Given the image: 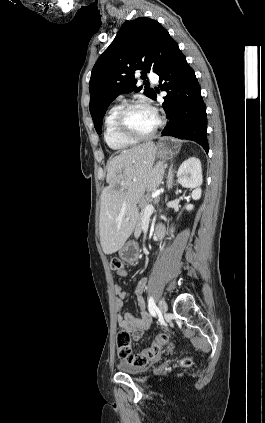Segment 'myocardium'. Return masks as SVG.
Here are the masks:
<instances>
[{"instance_id":"f54148a6","label":"myocardium","mask_w":265,"mask_h":423,"mask_svg":"<svg viewBox=\"0 0 265 423\" xmlns=\"http://www.w3.org/2000/svg\"><path fill=\"white\" fill-rule=\"evenodd\" d=\"M139 107L149 108L152 111H154L152 109V107L146 102L132 101V102L125 104L122 107V109L120 110V112L118 113L117 118H116V129L119 132V134L122 137H124L125 139L131 140V141H134V142L145 141V140H149V139L153 138L156 135V133L158 132V130L160 129V127L162 126L161 118L154 111L155 114H156V117H157V124L154 127V129L151 132H149L147 134H143V135L134 133L128 126L127 117L133 109L139 108Z\"/></svg>"}]
</instances>
